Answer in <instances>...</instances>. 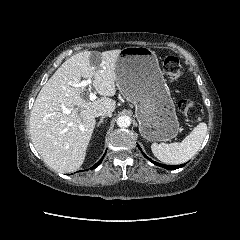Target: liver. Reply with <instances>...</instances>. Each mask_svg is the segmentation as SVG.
Returning a JSON list of instances; mask_svg holds the SVG:
<instances>
[{
	"label": "liver",
	"instance_id": "6515ba94",
	"mask_svg": "<svg viewBox=\"0 0 240 240\" xmlns=\"http://www.w3.org/2000/svg\"><path fill=\"white\" fill-rule=\"evenodd\" d=\"M120 49L98 53L84 51L67 59L39 92L30 115L31 140L43 161L58 172L77 171L83 164L99 111L116 108L115 66ZM99 55V65L91 60ZM81 78L93 79L101 95L95 101L82 98Z\"/></svg>",
	"mask_w": 240,
	"mask_h": 240
}]
</instances>
